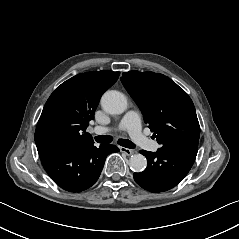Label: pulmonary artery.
<instances>
[{"label": "pulmonary artery", "mask_w": 239, "mask_h": 239, "mask_svg": "<svg viewBox=\"0 0 239 239\" xmlns=\"http://www.w3.org/2000/svg\"><path fill=\"white\" fill-rule=\"evenodd\" d=\"M119 130L127 131L130 137L138 144H145L147 142V138L141 131L140 118L137 111L130 110L124 115L119 125ZM91 132L96 135H102L109 133L110 129L104 126H95L91 128ZM157 147L156 145L153 150H156Z\"/></svg>", "instance_id": "1"}]
</instances>
